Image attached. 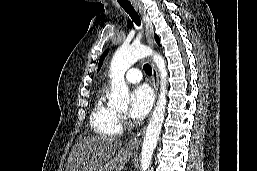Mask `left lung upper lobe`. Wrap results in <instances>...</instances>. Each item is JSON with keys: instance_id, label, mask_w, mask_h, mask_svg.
I'll return each mask as SVG.
<instances>
[{"instance_id": "obj_1", "label": "left lung upper lobe", "mask_w": 257, "mask_h": 171, "mask_svg": "<svg viewBox=\"0 0 257 171\" xmlns=\"http://www.w3.org/2000/svg\"><path fill=\"white\" fill-rule=\"evenodd\" d=\"M156 42L158 43V45H160V40H159V37H158V36H156ZM107 52H108V50H106V51L102 54V56L100 57L99 66H98V71L100 70V68H101V66H102L103 60H104L105 56L107 55Z\"/></svg>"}]
</instances>
